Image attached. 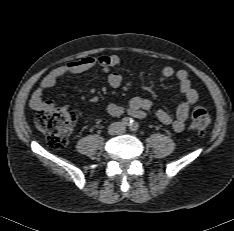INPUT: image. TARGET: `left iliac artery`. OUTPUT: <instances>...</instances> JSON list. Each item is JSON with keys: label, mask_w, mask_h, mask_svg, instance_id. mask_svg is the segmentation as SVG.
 <instances>
[{"label": "left iliac artery", "mask_w": 234, "mask_h": 231, "mask_svg": "<svg viewBox=\"0 0 234 231\" xmlns=\"http://www.w3.org/2000/svg\"><path fill=\"white\" fill-rule=\"evenodd\" d=\"M131 131H137L138 130V124L137 123H133L130 127Z\"/></svg>", "instance_id": "left-iliac-artery-1"}]
</instances>
